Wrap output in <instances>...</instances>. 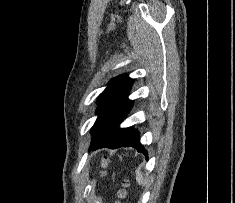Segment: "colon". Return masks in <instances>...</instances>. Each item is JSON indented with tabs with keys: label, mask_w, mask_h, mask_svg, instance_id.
Returning a JSON list of instances; mask_svg holds the SVG:
<instances>
[{
	"label": "colon",
	"mask_w": 235,
	"mask_h": 203,
	"mask_svg": "<svg viewBox=\"0 0 235 203\" xmlns=\"http://www.w3.org/2000/svg\"><path fill=\"white\" fill-rule=\"evenodd\" d=\"M119 199H124L127 196V192L125 189H121L118 193ZM119 203V202H118Z\"/></svg>",
	"instance_id": "1"
}]
</instances>
